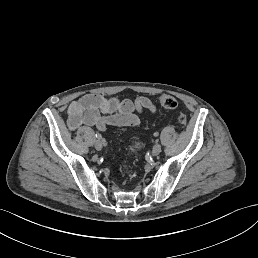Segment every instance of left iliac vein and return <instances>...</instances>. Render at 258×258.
<instances>
[{
	"label": "left iliac vein",
	"mask_w": 258,
	"mask_h": 258,
	"mask_svg": "<svg viewBox=\"0 0 258 258\" xmlns=\"http://www.w3.org/2000/svg\"><path fill=\"white\" fill-rule=\"evenodd\" d=\"M162 150L161 144L160 143H155L153 149L151 150V153L154 156H157L160 151Z\"/></svg>",
	"instance_id": "left-iliac-vein-1"
}]
</instances>
